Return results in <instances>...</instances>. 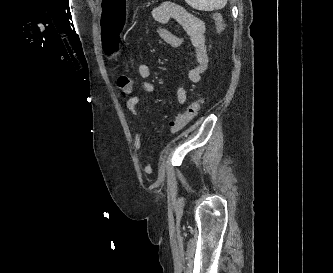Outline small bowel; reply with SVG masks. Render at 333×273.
<instances>
[{
	"instance_id": "small-bowel-1",
	"label": "small bowel",
	"mask_w": 333,
	"mask_h": 273,
	"mask_svg": "<svg viewBox=\"0 0 333 273\" xmlns=\"http://www.w3.org/2000/svg\"><path fill=\"white\" fill-rule=\"evenodd\" d=\"M150 16L155 23V33L168 45L177 48L183 46L185 42L188 41L192 49V57L194 58L195 63L194 65L187 67L186 73L188 79L192 83H198L201 80V76L205 72L209 61L205 44V23L199 17L186 10L184 7L173 2H164L163 4L154 7L150 11ZM173 21L177 22L184 28L186 32L185 37L176 35L165 28L166 25L170 24ZM137 74L140 78V89L144 93L153 92L154 85L150 81V77L152 74L150 66L146 63L139 64L137 67ZM175 96L177 102L180 105L186 104L187 92L184 86L179 85L176 88ZM139 103L140 98L138 96H132L126 102L127 110L137 122H140V115L137 109ZM173 120L171 121V123L173 122ZM134 148L138 155L143 154L144 148L141 135L138 130H136L134 134ZM144 171L146 173H149L151 171V166L145 165Z\"/></svg>"
}]
</instances>
